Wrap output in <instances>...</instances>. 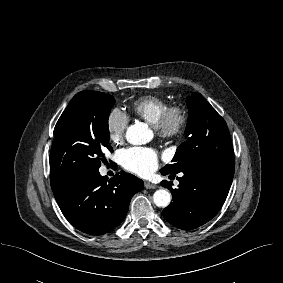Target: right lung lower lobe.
I'll return each mask as SVG.
<instances>
[{
	"label": "right lung lower lobe",
	"mask_w": 283,
	"mask_h": 283,
	"mask_svg": "<svg viewBox=\"0 0 283 283\" xmlns=\"http://www.w3.org/2000/svg\"><path fill=\"white\" fill-rule=\"evenodd\" d=\"M142 189L143 181L132 174L121 171L108 180L97 170L53 189V194L75 228L102 235L122 222L132 196Z\"/></svg>",
	"instance_id": "98d812e1"
}]
</instances>
